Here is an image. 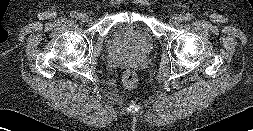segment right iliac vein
<instances>
[{"instance_id": "63e3f726", "label": "right iliac vein", "mask_w": 253, "mask_h": 131, "mask_svg": "<svg viewBox=\"0 0 253 131\" xmlns=\"http://www.w3.org/2000/svg\"><path fill=\"white\" fill-rule=\"evenodd\" d=\"M78 17L83 22H87L89 19L88 15L84 12L79 13Z\"/></svg>"}]
</instances>
